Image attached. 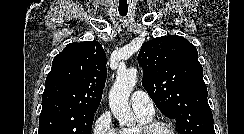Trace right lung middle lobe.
<instances>
[{"mask_svg": "<svg viewBox=\"0 0 244 134\" xmlns=\"http://www.w3.org/2000/svg\"><path fill=\"white\" fill-rule=\"evenodd\" d=\"M96 110L61 101L43 103L38 134H91Z\"/></svg>", "mask_w": 244, "mask_h": 134, "instance_id": "1", "label": "right lung middle lobe"}]
</instances>
